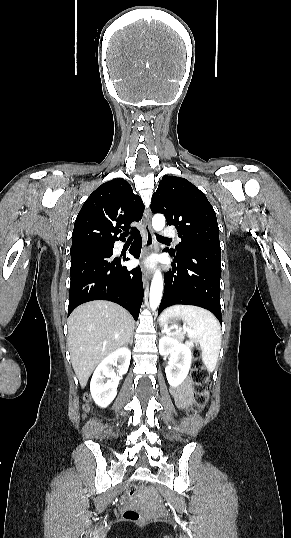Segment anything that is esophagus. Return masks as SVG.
Segmentation results:
<instances>
[{"label": "esophagus", "instance_id": "esophagus-1", "mask_svg": "<svg viewBox=\"0 0 291 538\" xmlns=\"http://www.w3.org/2000/svg\"><path fill=\"white\" fill-rule=\"evenodd\" d=\"M144 221V251H143V258L149 253L152 252L156 247V241L154 238L153 230L151 227V212L150 210H147L144 213L143 216ZM142 277H143V283L146 285L150 279V272L147 270L146 267H143L142 269Z\"/></svg>", "mask_w": 291, "mask_h": 538}]
</instances>
